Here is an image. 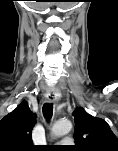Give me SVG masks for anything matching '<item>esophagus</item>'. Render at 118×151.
<instances>
[{
    "mask_svg": "<svg viewBox=\"0 0 118 151\" xmlns=\"http://www.w3.org/2000/svg\"><path fill=\"white\" fill-rule=\"evenodd\" d=\"M56 97H57V92L54 88H50L47 90L45 94V98L48 103L53 102L56 99Z\"/></svg>",
    "mask_w": 118,
    "mask_h": 151,
    "instance_id": "34e87169",
    "label": "esophagus"
}]
</instances>
